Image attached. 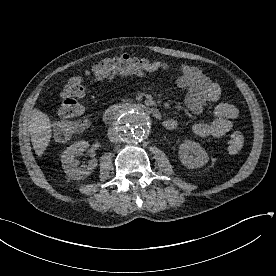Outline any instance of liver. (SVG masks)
Masks as SVG:
<instances>
[{"label":"liver","instance_id":"6515ba94","mask_svg":"<svg viewBox=\"0 0 276 276\" xmlns=\"http://www.w3.org/2000/svg\"><path fill=\"white\" fill-rule=\"evenodd\" d=\"M28 124L33 149L35 153L41 157L47 149L51 139L50 118L38 109H34Z\"/></svg>","mask_w":276,"mask_h":276}]
</instances>
